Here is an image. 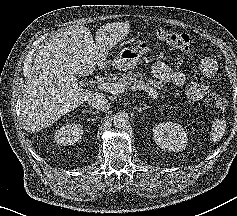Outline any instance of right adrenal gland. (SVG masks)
I'll return each mask as SVG.
<instances>
[{"instance_id": "2a0ac1e0", "label": "right adrenal gland", "mask_w": 237, "mask_h": 216, "mask_svg": "<svg viewBox=\"0 0 237 216\" xmlns=\"http://www.w3.org/2000/svg\"><path fill=\"white\" fill-rule=\"evenodd\" d=\"M89 113V114H93V115H96L97 113L96 112H94V111H92V110H88V111H83V113Z\"/></svg>"}]
</instances>
